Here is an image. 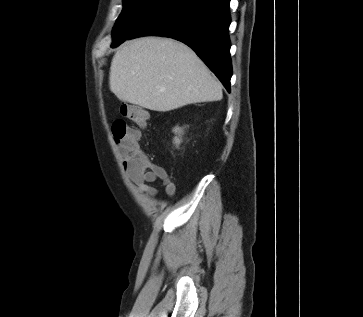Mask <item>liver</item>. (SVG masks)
I'll return each instance as SVG.
<instances>
[{
    "mask_svg": "<svg viewBox=\"0 0 363 317\" xmlns=\"http://www.w3.org/2000/svg\"><path fill=\"white\" fill-rule=\"evenodd\" d=\"M109 86L123 102L166 112L187 104L222 99V85L185 44L142 37L114 55Z\"/></svg>",
    "mask_w": 363,
    "mask_h": 317,
    "instance_id": "liver-1",
    "label": "liver"
}]
</instances>
